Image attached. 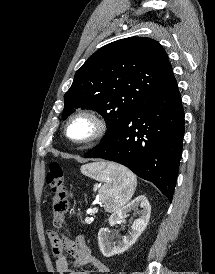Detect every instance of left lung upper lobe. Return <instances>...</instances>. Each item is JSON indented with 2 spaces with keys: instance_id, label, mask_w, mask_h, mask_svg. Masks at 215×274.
Instances as JSON below:
<instances>
[{
  "instance_id": "1",
  "label": "left lung upper lobe",
  "mask_w": 215,
  "mask_h": 274,
  "mask_svg": "<svg viewBox=\"0 0 215 274\" xmlns=\"http://www.w3.org/2000/svg\"><path fill=\"white\" fill-rule=\"evenodd\" d=\"M174 79L163 47L146 37H129L107 44L76 72L65 93L63 119L75 109L100 113L107 138L137 106Z\"/></svg>"
}]
</instances>
